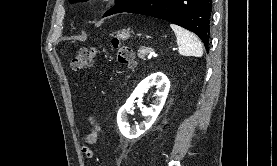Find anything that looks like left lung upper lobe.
Masks as SVG:
<instances>
[{"instance_id":"obj_1","label":"left lung upper lobe","mask_w":277,"mask_h":166,"mask_svg":"<svg viewBox=\"0 0 277 166\" xmlns=\"http://www.w3.org/2000/svg\"><path fill=\"white\" fill-rule=\"evenodd\" d=\"M72 3L75 2H81L84 0H70ZM141 0H117V4L116 6H114L113 8H111L110 10H108L105 14V16H109L115 13H120L123 11L128 10L129 8L133 7L134 5H136L137 3H139Z\"/></svg>"}]
</instances>
